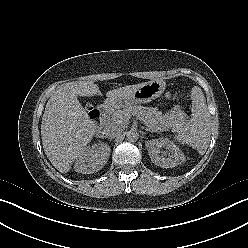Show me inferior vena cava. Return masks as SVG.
Masks as SVG:
<instances>
[{
    "label": "inferior vena cava",
    "mask_w": 248,
    "mask_h": 248,
    "mask_svg": "<svg viewBox=\"0 0 248 248\" xmlns=\"http://www.w3.org/2000/svg\"><path fill=\"white\" fill-rule=\"evenodd\" d=\"M123 131V128L118 125H109L105 128L104 134L108 137L114 138L120 135Z\"/></svg>",
    "instance_id": "1"
}]
</instances>
